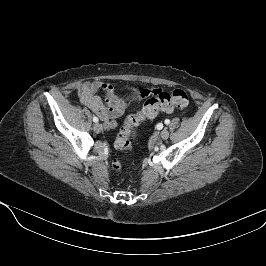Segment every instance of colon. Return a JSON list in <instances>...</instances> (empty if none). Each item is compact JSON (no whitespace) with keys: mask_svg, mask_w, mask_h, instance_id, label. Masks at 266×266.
<instances>
[{"mask_svg":"<svg viewBox=\"0 0 266 266\" xmlns=\"http://www.w3.org/2000/svg\"><path fill=\"white\" fill-rule=\"evenodd\" d=\"M188 103V95L182 89H175L171 92L158 90L146 95L141 110L136 114L128 116L126 119L125 124L116 138V149L131 150V129L143 120L155 117L160 111L170 112L175 108L183 109L188 106ZM111 167L115 172H119L122 165L118 160H113Z\"/></svg>","mask_w":266,"mask_h":266,"instance_id":"5ec220e1","label":"colon"}]
</instances>
